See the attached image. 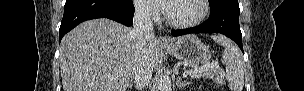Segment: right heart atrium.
I'll return each mask as SVG.
<instances>
[{"label": "right heart atrium", "instance_id": "1", "mask_svg": "<svg viewBox=\"0 0 304 91\" xmlns=\"http://www.w3.org/2000/svg\"><path fill=\"white\" fill-rule=\"evenodd\" d=\"M138 12L143 18H155L157 16L156 10L146 5H139Z\"/></svg>", "mask_w": 304, "mask_h": 91}]
</instances>
